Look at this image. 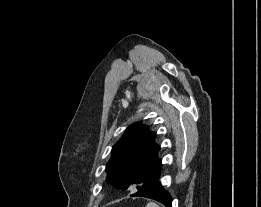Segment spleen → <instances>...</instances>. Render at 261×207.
<instances>
[{"mask_svg": "<svg viewBox=\"0 0 261 207\" xmlns=\"http://www.w3.org/2000/svg\"><path fill=\"white\" fill-rule=\"evenodd\" d=\"M146 207H159V206L154 202H150L146 205Z\"/></svg>", "mask_w": 261, "mask_h": 207, "instance_id": "1", "label": "spleen"}]
</instances>
